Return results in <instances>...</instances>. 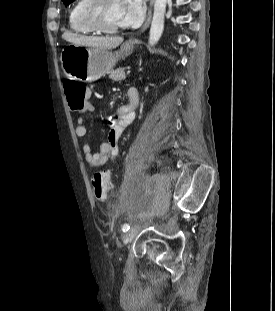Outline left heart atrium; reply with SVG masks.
Segmentation results:
<instances>
[{
  "label": "left heart atrium",
  "instance_id": "1",
  "mask_svg": "<svg viewBox=\"0 0 275 311\" xmlns=\"http://www.w3.org/2000/svg\"><path fill=\"white\" fill-rule=\"evenodd\" d=\"M122 4V26H137L145 15L144 0H122Z\"/></svg>",
  "mask_w": 275,
  "mask_h": 311
}]
</instances>
